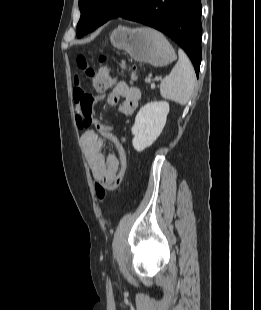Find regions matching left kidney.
Segmentation results:
<instances>
[{"instance_id":"5707ae66","label":"left kidney","mask_w":261,"mask_h":310,"mask_svg":"<svg viewBox=\"0 0 261 310\" xmlns=\"http://www.w3.org/2000/svg\"><path fill=\"white\" fill-rule=\"evenodd\" d=\"M168 113L169 103L166 101H153L139 110L132 127L135 150L141 152L156 141L166 124Z\"/></svg>"}]
</instances>
